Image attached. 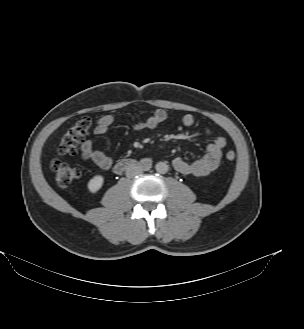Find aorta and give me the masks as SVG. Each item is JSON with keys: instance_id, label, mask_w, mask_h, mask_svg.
<instances>
[{"instance_id": "aorta-1", "label": "aorta", "mask_w": 304, "mask_h": 329, "mask_svg": "<svg viewBox=\"0 0 304 329\" xmlns=\"http://www.w3.org/2000/svg\"><path fill=\"white\" fill-rule=\"evenodd\" d=\"M155 169L158 173L165 174L167 173L169 166L167 165L166 162H158L155 166Z\"/></svg>"}]
</instances>
